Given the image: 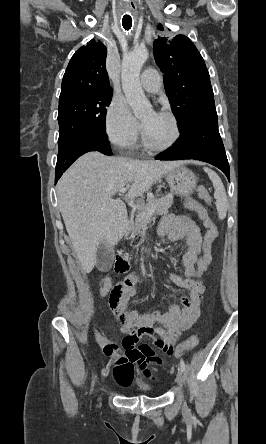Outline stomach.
Returning a JSON list of instances; mask_svg holds the SVG:
<instances>
[{"mask_svg":"<svg viewBox=\"0 0 266 444\" xmlns=\"http://www.w3.org/2000/svg\"><path fill=\"white\" fill-rule=\"evenodd\" d=\"M171 191L179 196H187L197 185L195 174L183 165L177 166L165 174Z\"/></svg>","mask_w":266,"mask_h":444,"instance_id":"1","label":"stomach"}]
</instances>
